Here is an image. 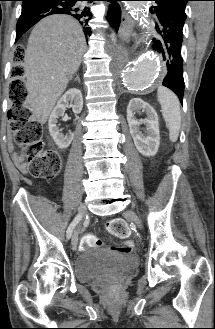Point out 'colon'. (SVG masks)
<instances>
[{
	"instance_id": "1",
	"label": "colon",
	"mask_w": 215,
	"mask_h": 329,
	"mask_svg": "<svg viewBox=\"0 0 215 329\" xmlns=\"http://www.w3.org/2000/svg\"><path fill=\"white\" fill-rule=\"evenodd\" d=\"M21 54V53H20ZM14 62H25V55H14ZM11 73H22V66H11ZM10 100L12 108L9 111L10 126L15 134L16 143L22 148V158L25 160L27 170L31 176L40 179H52L60 171L61 158L59 154L47 149L42 141V126L33 117L26 106L27 89L20 78H13L10 86ZM108 231L114 237L125 239L129 236L128 224L121 218L109 221ZM102 242L93 235H85L81 240V247H98ZM133 243L128 241L119 248L124 253L132 250Z\"/></svg>"
}]
</instances>
